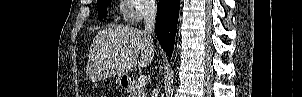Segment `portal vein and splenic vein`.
<instances>
[{
  "label": "portal vein and splenic vein",
  "instance_id": "portal-vein-and-splenic-vein-1",
  "mask_svg": "<svg viewBox=\"0 0 302 97\" xmlns=\"http://www.w3.org/2000/svg\"><path fill=\"white\" fill-rule=\"evenodd\" d=\"M137 84H138L140 87L145 86V85L147 84V77H145L144 75L139 76L138 81H137Z\"/></svg>",
  "mask_w": 302,
  "mask_h": 97
}]
</instances>
